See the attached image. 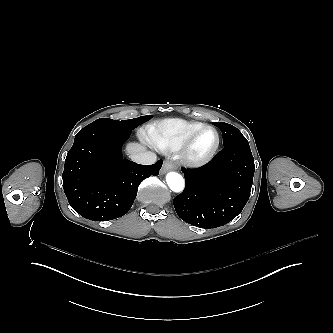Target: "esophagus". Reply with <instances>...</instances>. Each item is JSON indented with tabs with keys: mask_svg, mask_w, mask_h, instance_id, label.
Instances as JSON below:
<instances>
[{
	"mask_svg": "<svg viewBox=\"0 0 333 333\" xmlns=\"http://www.w3.org/2000/svg\"><path fill=\"white\" fill-rule=\"evenodd\" d=\"M177 168V164L172 161L171 159H167L165 160L163 167L161 169V173L165 174L166 172H168L169 170L175 169Z\"/></svg>",
	"mask_w": 333,
	"mask_h": 333,
	"instance_id": "1",
	"label": "esophagus"
}]
</instances>
